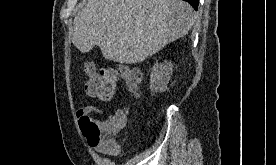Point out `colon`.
<instances>
[{
    "label": "colon",
    "mask_w": 276,
    "mask_h": 165,
    "mask_svg": "<svg viewBox=\"0 0 276 165\" xmlns=\"http://www.w3.org/2000/svg\"><path fill=\"white\" fill-rule=\"evenodd\" d=\"M85 73L87 94L106 102L112 100L116 95L119 78H122L127 88L134 93H137L141 82L140 72L129 66H121L118 69H97L93 63H88ZM79 122L83 134L91 146L102 144L112 151H117L118 145L114 135L125 126L127 113L123 111L116 113L108 126H104L91 116H84Z\"/></svg>",
    "instance_id": "colon-1"
}]
</instances>
